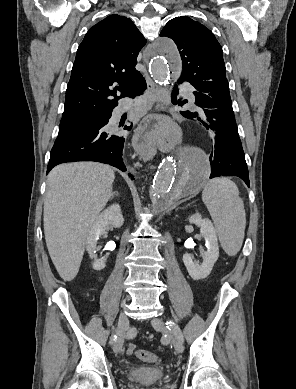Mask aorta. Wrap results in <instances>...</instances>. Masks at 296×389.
<instances>
[{
  "mask_svg": "<svg viewBox=\"0 0 296 389\" xmlns=\"http://www.w3.org/2000/svg\"><path fill=\"white\" fill-rule=\"evenodd\" d=\"M149 66L151 76L160 84L182 77L181 60L176 45L165 38L156 40ZM181 163L172 158L162 161L151 187L152 209L162 212L179 197L193 194L210 174L209 157L199 149H182ZM176 189V190H175Z\"/></svg>",
  "mask_w": 296,
  "mask_h": 389,
  "instance_id": "1",
  "label": "aorta"
}]
</instances>
